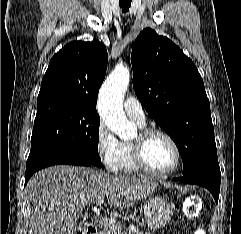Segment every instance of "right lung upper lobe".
I'll list each match as a JSON object with an SVG mask.
<instances>
[{
	"mask_svg": "<svg viewBox=\"0 0 241 234\" xmlns=\"http://www.w3.org/2000/svg\"><path fill=\"white\" fill-rule=\"evenodd\" d=\"M107 62V50L98 40L70 42L52 57L37 106L64 104L96 111Z\"/></svg>",
	"mask_w": 241,
	"mask_h": 234,
	"instance_id": "1",
	"label": "right lung upper lobe"
}]
</instances>
